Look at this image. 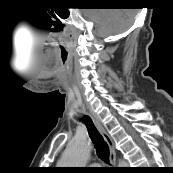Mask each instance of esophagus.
I'll list each match as a JSON object with an SVG mask.
<instances>
[{"instance_id":"1","label":"esophagus","mask_w":173,"mask_h":173,"mask_svg":"<svg viewBox=\"0 0 173 173\" xmlns=\"http://www.w3.org/2000/svg\"><path fill=\"white\" fill-rule=\"evenodd\" d=\"M91 118H92L96 128L98 129V131L101 133L104 140L108 144V147L110 149V162H111L112 166H116V151H115V145H114V142H113L111 136L108 134V132L105 130V128L103 127V125L100 123V121L98 119H96L93 116H91Z\"/></svg>"}]
</instances>
